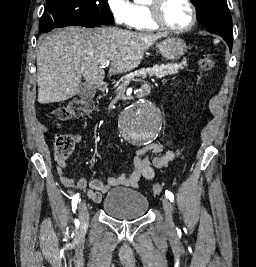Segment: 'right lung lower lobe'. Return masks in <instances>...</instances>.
<instances>
[{
  "label": "right lung lower lobe",
  "mask_w": 256,
  "mask_h": 267,
  "mask_svg": "<svg viewBox=\"0 0 256 267\" xmlns=\"http://www.w3.org/2000/svg\"><path fill=\"white\" fill-rule=\"evenodd\" d=\"M75 25H77V26H84V27H96V26H98L97 24H75Z\"/></svg>",
  "instance_id": "1"
}]
</instances>
